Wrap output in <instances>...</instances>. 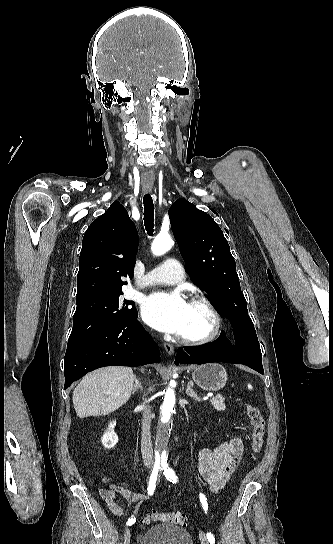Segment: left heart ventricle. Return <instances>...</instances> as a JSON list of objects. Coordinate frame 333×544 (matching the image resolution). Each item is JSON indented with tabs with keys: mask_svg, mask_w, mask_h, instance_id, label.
Segmentation results:
<instances>
[{
	"mask_svg": "<svg viewBox=\"0 0 333 544\" xmlns=\"http://www.w3.org/2000/svg\"><path fill=\"white\" fill-rule=\"evenodd\" d=\"M212 326V318L207 309L199 304H189L184 327L180 332L185 337L206 335Z\"/></svg>",
	"mask_w": 333,
	"mask_h": 544,
	"instance_id": "obj_1",
	"label": "left heart ventricle"
}]
</instances>
